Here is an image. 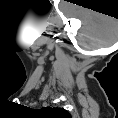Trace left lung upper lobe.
Returning <instances> with one entry per match:
<instances>
[{"label": "left lung upper lobe", "mask_w": 118, "mask_h": 118, "mask_svg": "<svg viewBox=\"0 0 118 118\" xmlns=\"http://www.w3.org/2000/svg\"><path fill=\"white\" fill-rule=\"evenodd\" d=\"M45 111H47V113H49V114L56 115V116H68L69 115V113L65 109L47 107V108H45Z\"/></svg>", "instance_id": "5c2ea615"}]
</instances>
